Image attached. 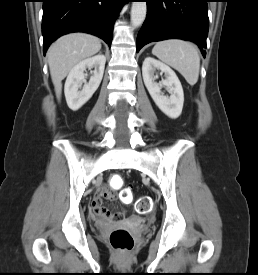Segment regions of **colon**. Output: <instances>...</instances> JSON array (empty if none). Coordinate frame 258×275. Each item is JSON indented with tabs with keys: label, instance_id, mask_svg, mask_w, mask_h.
Masks as SVG:
<instances>
[{
	"label": "colon",
	"instance_id": "1",
	"mask_svg": "<svg viewBox=\"0 0 258 275\" xmlns=\"http://www.w3.org/2000/svg\"><path fill=\"white\" fill-rule=\"evenodd\" d=\"M110 185L113 189H119L123 185V178L119 175L112 176L110 180ZM120 199L123 202H130L132 200V193L128 189H123L120 192ZM152 208V202L148 197H142L137 203L136 210L140 214L148 213ZM121 217L120 213L112 214V218L119 219ZM110 244L116 250L122 252H130L134 248V238L132 234L124 228H118L111 232L110 237Z\"/></svg>",
	"mask_w": 258,
	"mask_h": 275
}]
</instances>
